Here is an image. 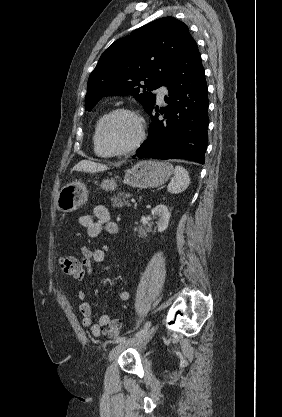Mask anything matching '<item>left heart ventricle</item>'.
Returning <instances> with one entry per match:
<instances>
[{"label": "left heart ventricle", "instance_id": "obj_1", "mask_svg": "<svg viewBox=\"0 0 282 417\" xmlns=\"http://www.w3.org/2000/svg\"><path fill=\"white\" fill-rule=\"evenodd\" d=\"M138 133L137 123L128 116L116 117L109 125L107 131L108 143L119 147L132 142Z\"/></svg>", "mask_w": 282, "mask_h": 417}]
</instances>
